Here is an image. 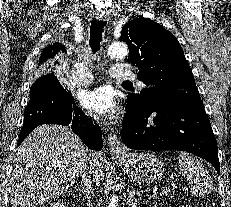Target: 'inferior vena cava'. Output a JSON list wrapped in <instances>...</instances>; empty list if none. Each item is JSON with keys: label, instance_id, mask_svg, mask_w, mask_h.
Listing matches in <instances>:
<instances>
[{"label": "inferior vena cava", "instance_id": "inferior-vena-cava-1", "mask_svg": "<svg viewBox=\"0 0 231 207\" xmlns=\"http://www.w3.org/2000/svg\"><path fill=\"white\" fill-rule=\"evenodd\" d=\"M82 182L84 184L83 192H85L86 198L91 199V196L93 197L94 190L92 188V181L90 179V176H88L85 172L81 174Z\"/></svg>", "mask_w": 231, "mask_h": 207}]
</instances>
